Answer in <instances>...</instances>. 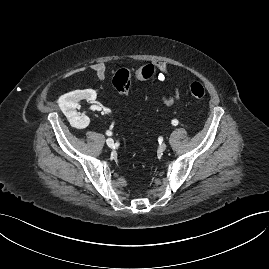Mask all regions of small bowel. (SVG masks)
Listing matches in <instances>:
<instances>
[{
  "instance_id": "1",
  "label": "small bowel",
  "mask_w": 269,
  "mask_h": 269,
  "mask_svg": "<svg viewBox=\"0 0 269 269\" xmlns=\"http://www.w3.org/2000/svg\"><path fill=\"white\" fill-rule=\"evenodd\" d=\"M153 65L157 68L159 72L158 80L161 82H165L170 76L168 65L164 61H155ZM90 68L99 79L106 78L107 70L103 63H100V62L93 63L90 66ZM140 70L141 69H136L133 71V74L136 78H139ZM179 97H180V94H179L178 89H174L168 94L161 95L160 100L165 105L171 106L179 100Z\"/></svg>"
}]
</instances>
